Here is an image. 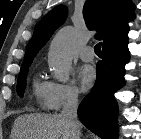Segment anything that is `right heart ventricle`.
Listing matches in <instances>:
<instances>
[{"label":"right heart ventricle","instance_id":"e07e8e85","mask_svg":"<svg viewBox=\"0 0 141 139\" xmlns=\"http://www.w3.org/2000/svg\"><path fill=\"white\" fill-rule=\"evenodd\" d=\"M33 95L40 106H46L48 82L35 79L32 85Z\"/></svg>","mask_w":141,"mask_h":139}]
</instances>
